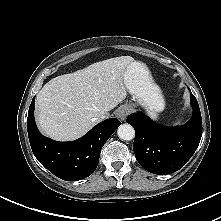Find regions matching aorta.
Instances as JSON below:
<instances>
[{"mask_svg": "<svg viewBox=\"0 0 221 221\" xmlns=\"http://www.w3.org/2000/svg\"><path fill=\"white\" fill-rule=\"evenodd\" d=\"M117 135L121 140L130 141L135 136V130L129 124H122L117 129Z\"/></svg>", "mask_w": 221, "mask_h": 221, "instance_id": "aorta-1", "label": "aorta"}]
</instances>
